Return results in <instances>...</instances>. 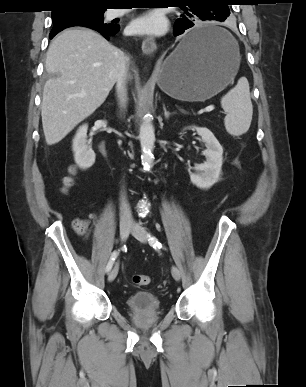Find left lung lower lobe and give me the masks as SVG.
Returning a JSON list of instances; mask_svg holds the SVG:
<instances>
[{"instance_id": "left-lung-lower-lobe-1", "label": "left lung lower lobe", "mask_w": 306, "mask_h": 387, "mask_svg": "<svg viewBox=\"0 0 306 387\" xmlns=\"http://www.w3.org/2000/svg\"><path fill=\"white\" fill-rule=\"evenodd\" d=\"M193 26L194 23L186 18L177 19L174 24V36H179L184 33L183 48L186 51L193 50L203 45L214 43L223 39V34L213 29L188 32L187 29Z\"/></svg>"}]
</instances>
